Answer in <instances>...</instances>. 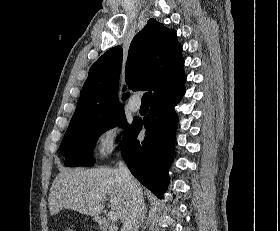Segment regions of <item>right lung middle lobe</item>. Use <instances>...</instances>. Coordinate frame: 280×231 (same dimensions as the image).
I'll list each match as a JSON object with an SVG mask.
<instances>
[{
    "instance_id": "dd1d6c3e",
    "label": "right lung middle lobe",
    "mask_w": 280,
    "mask_h": 231,
    "mask_svg": "<svg viewBox=\"0 0 280 231\" xmlns=\"http://www.w3.org/2000/svg\"><path fill=\"white\" fill-rule=\"evenodd\" d=\"M117 125L124 128L129 126L123 111L101 119L70 123L61 143V154L67 158L65 165H93L91 151L95 147L97 138L106 130Z\"/></svg>"
}]
</instances>
